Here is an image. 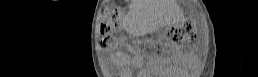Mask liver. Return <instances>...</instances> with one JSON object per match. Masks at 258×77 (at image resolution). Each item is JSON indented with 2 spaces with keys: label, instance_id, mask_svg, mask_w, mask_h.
I'll use <instances>...</instances> for the list:
<instances>
[{
  "label": "liver",
  "instance_id": "6515ba94",
  "mask_svg": "<svg viewBox=\"0 0 258 77\" xmlns=\"http://www.w3.org/2000/svg\"><path fill=\"white\" fill-rule=\"evenodd\" d=\"M140 1H133V3H132V5H131V8H132V12H133V15H139V13H140V7L138 6V3H139Z\"/></svg>",
  "mask_w": 258,
  "mask_h": 77
}]
</instances>
